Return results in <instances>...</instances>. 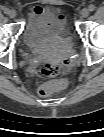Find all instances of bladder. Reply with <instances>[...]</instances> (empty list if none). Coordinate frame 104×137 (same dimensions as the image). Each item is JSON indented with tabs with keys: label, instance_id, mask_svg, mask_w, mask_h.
Returning a JSON list of instances; mask_svg holds the SVG:
<instances>
[{
	"label": "bladder",
	"instance_id": "1",
	"mask_svg": "<svg viewBox=\"0 0 104 137\" xmlns=\"http://www.w3.org/2000/svg\"><path fill=\"white\" fill-rule=\"evenodd\" d=\"M45 26L38 30L25 28L22 40L30 52L47 60L60 59L74 47L69 23L57 8H46L41 15Z\"/></svg>",
	"mask_w": 104,
	"mask_h": 137
}]
</instances>
